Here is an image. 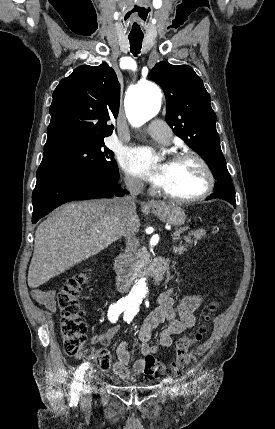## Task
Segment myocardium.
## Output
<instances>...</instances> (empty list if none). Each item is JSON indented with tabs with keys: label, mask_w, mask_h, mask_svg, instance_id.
<instances>
[{
	"label": "myocardium",
	"mask_w": 275,
	"mask_h": 429,
	"mask_svg": "<svg viewBox=\"0 0 275 429\" xmlns=\"http://www.w3.org/2000/svg\"><path fill=\"white\" fill-rule=\"evenodd\" d=\"M181 160H194L201 166L206 178V184L204 189L200 193L193 196H188V197L176 196L162 189L161 190L162 195L167 199L178 203H193L208 197L214 189L215 177L207 161L199 154L191 151L178 152L174 154L172 157V161H181Z\"/></svg>",
	"instance_id": "myocardium-1"
}]
</instances>
